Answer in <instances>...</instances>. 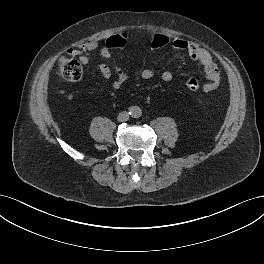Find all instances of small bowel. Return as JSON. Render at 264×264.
<instances>
[{
  "label": "small bowel",
  "mask_w": 264,
  "mask_h": 264,
  "mask_svg": "<svg viewBox=\"0 0 264 264\" xmlns=\"http://www.w3.org/2000/svg\"><path fill=\"white\" fill-rule=\"evenodd\" d=\"M171 45L173 49L186 52L192 60L199 63L205 77V91H211L219 85L221 79L220 73L209 52L199 47L196 43L180 37L173 38L171 40ZM97 49H99L100 55L110 62V64L101 63L99 65L100 74L103 78L110 79L112 77V74L114 73L115 78L111 81V87L116 90L120 89L123 84L129 79V74L119 68L112 61L111 50L106 48L105 45L99 48L98 41L92 40L81 45L80 47L69 50V52L73 55H77L80 62L83 65H86L90 61V53ZM139 76L143 80H150L155 76V72L154 70L147 68L141 70ZM161 78L163 81L169 82L173 79V73L169 70H165L162 72Z\"/></svg>",
  "instance_id": "c3829d8e"
}]
</instances>
